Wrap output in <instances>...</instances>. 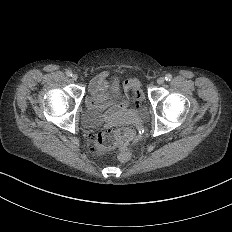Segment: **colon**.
I'll return each mask as SVG.
<instances>
[{
  "label": "colon",
  "instance_id": "obj_1",
  "mask_svg": "<svg viewBox=\"0 0 232 232\" xmlns=\"http://www.w3.org/2000/svg\"><path fill=\"white\" fill-rule=\"evenodd\" d=\"M126 95H131L135 103H140L144 99V94L138 90L140 82L135 78L123 79ZM137 138V130L127 120H122L113 125L110 129L101 130L92 141V146L105 159H111L116 151L124 145H131Z\"/></svg>",
  "mask_w": 232,
  "mask_h": 232
}]
</instances>
